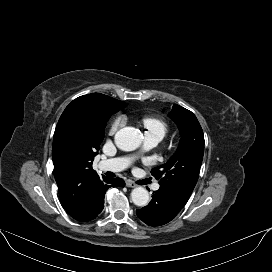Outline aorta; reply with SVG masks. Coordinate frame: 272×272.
I'll use <instances>...</instances> for the list:
<instances>
[{"label": "aorta", "instance_id": "1", "mask_svg": "<svg viewBox=\"0 0 272 272\" xmlns=\"http://www.w3.org/2000/svg\"><path fill=\"white\" fill-rule=\"evenodd\" d=\"M142 142L141 132L134 127H125L115 134V143L123 151H132L140 146ZM132 202L139 207L149 203V193L143 187H136L131 192Z\"/></svg>", "mask_w": 272, "mask_h": 272}]
</instances>
